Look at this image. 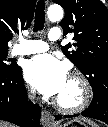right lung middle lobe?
Here are the masks:
<instances>
[{
  "label": "right lung middle lobe",
  "mask_w": 108,
  "mask_h": 127,
  "mask_svg": "<svg viewBox=\"0 0 108 127\" xmlns=\"http://www.w3.org/2000/svg\"><path fill=\"white\" fill-rule=\"evenodd\" d=\"M7 54H8V50H0V69H4V70L15 69L16 67L15 64L7 65L5 63Z\"/></svg>",
  "instance_id": "dd1d6c3e"
}]
</instances>
